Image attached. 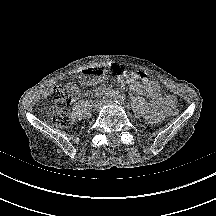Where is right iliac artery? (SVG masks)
<instances>
[{
    "label": "right iliac artery",
    "instance_id": "right-iliac-artery-1",
    "mask_svg": "<svg viewBox=\"0 0 216 216\" xmlns=\"http://www.w3.org/2000/svg\"><path fill=\"white\" fill-rule=\"evenodd\" d=\"M114 96H115V92L112 90L106 92V94H105V98L108 100H111L112 98H114Z\"/></svg>",
    "mask_w": 216,
    "mask_h": 216
}]
</instances>
